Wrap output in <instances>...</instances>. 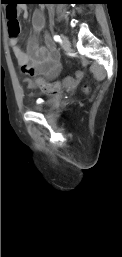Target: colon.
Masks as SVG:
<instances>
[{
    "label": "colon",
    "mask_w": 122,
    "mask_h": 257,
    "mask_svg": "<svg viewBox=\"0 0 122 257\" xmlns=\"http://www.w3.org/2000/svg\"><path fill=\"white\" fill-rule=\"evenodd\" d=\"M18 9L17 5H4V10L7 11V17H8V31L9 35L11 37H17L20 33V24L17 20V12ZM75 75H77V79H84L85 75L83 74V70H75ZM38 86L44 90V92L52 93L57 92L60 89V83L54 82V83H47L44 81H39ZM34 94L38 93L37 89L33 90Z\"/></svg>",
    "instance_id": "5ec220e1"
}]
</instances>
